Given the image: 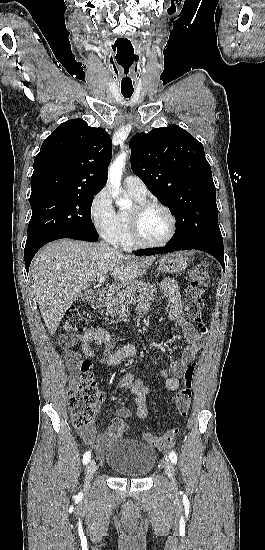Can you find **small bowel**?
I'll list each match as a JSON object with an SVG mask.
<instances>
[{"label":"small bowel","mask_w":265,"mask_h":550,"mask_svg":"<svg viewBox=\"0 0 265 550\" xmlns=\"http://www.w3.org/2000/svg\"><path fill=\"white\" fill-rule=\"evenodd\" d=\"M161 292L167 299L169 307V315L176 322L183 333L185 347L181 356L176 359L171 369H161L160 375L165 378V387L168 391H176L179 387V380L183 377L188 364L193 361L199 351L204 346V336L196 331L183 316V296L180 288L172 279H166L162 282ZM150 303L148 301L141 302L137 306V313L145 315L148 313ZM94 341L99 345L111 344L109 333L103 328H90L86 332L73 335L62 336L60 343L68 348L67 358L71 367H75L81 361V353L75 349L77 345L82 348V353L87 357H95L96 353L91 348L90 342ZM137 355V347L134 344H126L114 351H108L103 357V361L110 365H119L122 362L133 358ZM118 386L127 389L135 397L137 406L136 415L140 420H145L148 417V409L146 399L151 394V388L145 381L132 373H125L121 376ZM131 411L126 407H118L113 411V415L117 417L127 418L131 416ZM83 441L96 449H101L111 439L108 432H98L92 425L81 430Z\"/></svg>","instance_id":"1"}]
</instances>
